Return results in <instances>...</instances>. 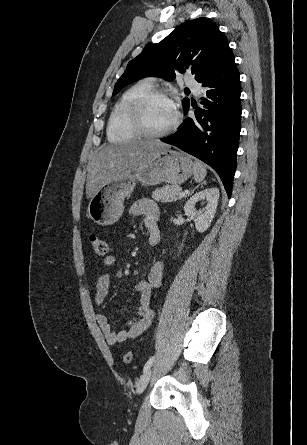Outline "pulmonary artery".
Listing matches in <instances>:
<instances>
[{
    "instance_id": "obj_1",
    "label": "pulmonary artery",
    "mask_w": 307,
    "mask_h": 445,
    "mask_svg": "<svg viewBox=\"0 0 307 445\" xmlns=\"http://www.w3.org/2000/svg\"><path fill=\"white\" fill-rule=\"evenodd\" d=\"M149 84H152V81H149ZM181 89L183 90H198L200 84L198 81H189L188 77L184 78V81L180 84Z\"/></svg>"
}]
</instances>
